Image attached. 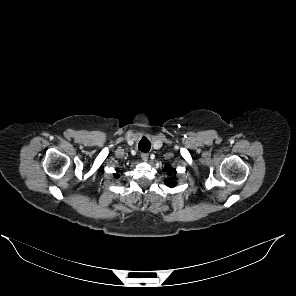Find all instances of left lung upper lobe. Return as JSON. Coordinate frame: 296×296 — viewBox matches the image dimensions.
I'll return each instance as SVG.
<instances>
[{
	"instance_id": "left-lung-upper-lobe-1",
	"label": "left lung upper lobe",
	"mask_w": 296,
	"mask_h": 296,
	"mask_svg": "<svg viewBox=\"0 0 296 296\" xmlns=\"http://www.w3.org/2000/svg\"><path fill=\"white\" fill-rule=\"evenodd\" d=\"M164 171H166L167 173H169L170 175H173L176 173L175 169H173L171 166L167 165L165 168H164ZM165 183L167 184V186L169 187H173L176 185V181H175V178L174 177H170V178H167L165 180Z\"/></svg>"
}]
</instances>
